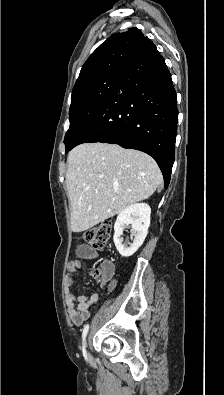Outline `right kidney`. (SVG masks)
<instances>
[{"label": "right kidney", "instance_id": "ca27d5eb", "mask_svg": "<svg viewBox=\"0 0 224 395\" xmlns=\"http://www.w3.org/2000/svg\"><path fill=\"white\" fill-rule=\"evenodd\" d=\"M151 208L148 204L137 203L122 210L114 224V243L117 251L123 257L132 256L143 244L150 226ZM125 224H130L134 235V240L130 246L122 243L121 236L125 229Z\"/></svg>", "mask_w": 224, "mask_h": 395}]
</instances>
